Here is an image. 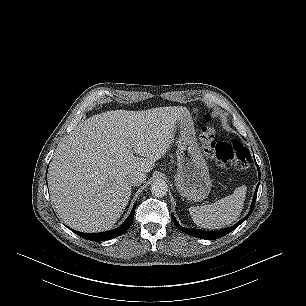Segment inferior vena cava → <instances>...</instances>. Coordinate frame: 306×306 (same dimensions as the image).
I'll return each mask as SVG.
<instances>
[{
  "mask_svg": "<svg viewBox=\"0 0 306 306\" xmlns=\"http://www.w3.org/2000/svg\"><path fill=\"white\" fill-rule=\"evenodd\" d=\"M146 180V175L143 172L134 171L129 175L128 181L131 185L138 186Z\"/></svg>",
  "mask_w": 306,
  "mask_h": 306,
  "instance_id": "inferior-vena-cava-1",
  "label": "inferior vena cava"
}]
</instances>
